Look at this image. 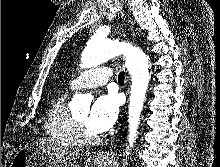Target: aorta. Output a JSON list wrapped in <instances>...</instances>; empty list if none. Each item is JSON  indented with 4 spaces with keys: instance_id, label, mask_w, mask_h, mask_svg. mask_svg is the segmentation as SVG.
<instances>
[{
    "instance_id": "aorta-1",
    "label": "aorta",
    "mask_w": 220,
    "mask_h": 167,
    "mask_svg": "<svg viewBox=\"0 0 220 167\" xmlns=\"http://www.w3.org/2000/svg\"><path fill=\"white\" fill-rule=\"evenodd\" d=\"M119 55L125 56V66L132 78L128 142L129 146L133 147L150 79L148 57L138 47L129 43L102 39L95 35L82 52L80 66L82 68L95 67ZM90 102L91 100L86 95L76 93L69 107L71 110H76L80 107L88 106ZM129 146L126 154H129Z\"/></svg>"
}]
</instances>
